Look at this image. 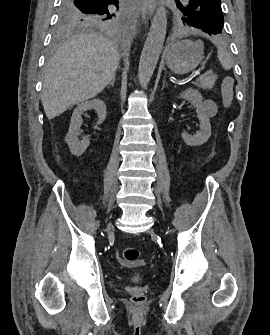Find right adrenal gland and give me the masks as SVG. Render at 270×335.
<instances>
[{
    "instance_id": "obj_1",
    "label": "right adrenal gland",
    "mask_w": 270,
    "mask_h": 335,
    "mask_svg": "<svg viewBox=\"0 0 270 335\" xmlns=\"http://www.w3.org/2000/svg\"><path fill=\"white\" fill-rule=\"evenodd\" d=\"M114 82H115V76H114V78H112V80L110 82V86H114Z\"/></svg>"
}]
</instances>
